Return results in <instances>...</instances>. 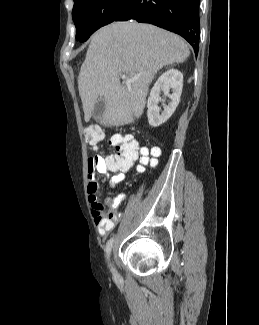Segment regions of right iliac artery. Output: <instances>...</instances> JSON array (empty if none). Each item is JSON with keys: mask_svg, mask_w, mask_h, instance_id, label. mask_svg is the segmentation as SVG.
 I'll list each match as a JSON object with an SVG mask.
<instances>
[{"mask_svg": "<svg viewBox=\"0 0 259 325\" xmlns=\"http://www.w3.org/2000/svg\"><path fill=\"white\" fill-rule=\"evenodd\" d=\"M113 242H114V239L111 238L110 240H108V242L106 244V257H107L108 260H109L110 253H111V250H112V247H113Z\"/></svg>", "mask_w": 259, "mask_h": 325, "instance_id": "right-iliac-artery-1", "label": "right iliac artery"}]
</instances>
